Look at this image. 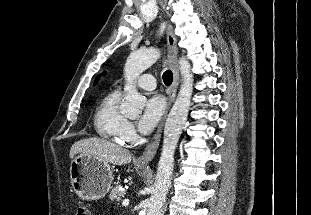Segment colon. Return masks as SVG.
Masks as SVG:
<instances>
[{"instance_id":"5ec220e1","label":"colon","mask_w":311,"mask_h":215,"mask_svg":"<svg viewBox=\"0 0 311 215\" xmlns=\"http://www.w3.org/2000/svg\"><path fill=\"white\" fill-rule=\"evenodd\" d=\"M76 215H91V212L86 207L79 205L76 209Z\"/></svg>"}]
</instances>
